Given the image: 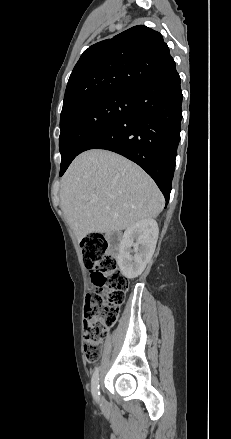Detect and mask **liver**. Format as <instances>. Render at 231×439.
<instances>
[{"label": "liver", "instance_id": "1", "mask_svg": "<svg viewBox=\"0 0 231 439\" xmlns=\"http://www.w3.org/2000/svg\"><path fill=\"white\" fill-rule=\"evenodd\" d=\"M61 207L80 241L90 233H112L156 218L164 197L138 165L102 149L78 155L61 181Z\"/></svg>", "mask_w": 231, "mask_h": 439}]
</instances>
